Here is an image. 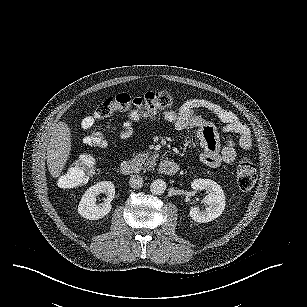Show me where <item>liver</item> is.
I'll list each match as a JSON object with an SVG mask.
<instances>
[{
    "mask_svg": "<svg viewBox=\"0 0 307 307\" xmlns=\"http://www.w3.org/2000/svg\"><path fill=\"white\" fill-rule=\"evenodd\" d=\"M71 151L70 128L65 122H58L51 133L47 146V167L53 178L61 175Z\"/></svg>",
    "mask_w": 307,
    "mask_h": 307,
    "instance_id": "liver-1",
    "label": "liver"
}]
</instances>
